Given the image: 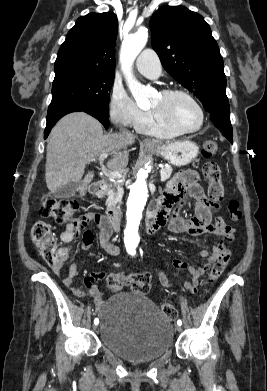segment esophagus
<instances>
[{
	"label": "esophagus",
	"mask_w": 267,
	"mask_h": 391,
	"mask_svg": "<svg viewBox=\"0 0 267 391\" xmlns=\"http://www.w3.org/2000/svg\"><path fill=\"white\" fill-rule=\"evenodd\" d=\"M143 143H144V145H146V146H154V145H155V143H154L153 141L149 140V139H145V140L143 141Z\"/></svg>",
	"instance_id": "1"
}]
</instances>
